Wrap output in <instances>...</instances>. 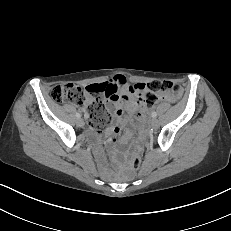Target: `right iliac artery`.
Masks as SVG:
<instances>
[{
  "label": "right iliac artery",
  "instance_id": "82829eb1",
  "mask_svg": "<svg viewBox=\"0 0 231 231\" xmlns=\"http://www.w3.org/2000/svg\"><path fill=\"white\" fill-rule=\"evenodd\" d=\"M76 117H77V118H80L81 115H80L79 113H76Z\"/></svg>",
  "mask_w": 231,
  "mask_h": 231
}]
</instances>
